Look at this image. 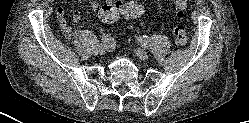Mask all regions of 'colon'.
<instances>
[{"label": "colon", "instance_id": "5ec220e1", "mask_svg": "<svg viewBox=\"0 0 249 123\" xmlns=\"http://www.w3.org/2000/svg\"><path fill=\"white\" fill-rule=\"evenodd\" d=\"M188 0H174L175 5V17L181 19L184 15V11ZM144 12V8L141 3L136 1L131 2H112L103 5L98 12L99 18L104 23H112L116 21L120 16L127 19H134L139 17ZM173 36L175 42L179 46H186L188 44V37L185 28L176 24L173 27Z\"/></svg>", "mask_w": 249, "mask_h": 123}]
</instances>
